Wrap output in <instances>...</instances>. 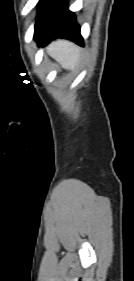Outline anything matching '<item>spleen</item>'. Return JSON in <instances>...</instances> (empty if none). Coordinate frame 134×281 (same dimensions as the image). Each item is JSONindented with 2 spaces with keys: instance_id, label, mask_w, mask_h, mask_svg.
<instances>
[{
  "instance_id": "3e777b00",
  "label": "spleen",
  "mask_w": 134,
  "mask_h": 281,
  "mask_svg": "<svg viewBox=\"0 0 134 281\" xmlns=\"http://www.w3.org/2000/svg\"><path fill=\"white\" fill-rule=\"evenodd\" d=\"M47 52L64 69L74 70L80 61V49L68 41L53 42L47 47Z\"/></svg>"
}]
</instances>
